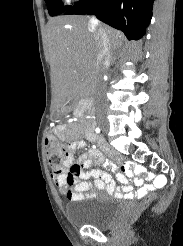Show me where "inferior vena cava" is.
Returning <instances> with one entry per match:
<instances>
[{"label": "inferior vena cava", "instance_id": "602c4592", "mask_svg": "<svg viewBox=\"0 0 183 246\" xmlns=\"http://www.w3.org/2000/svg\"><path fill=\"white\" fill-rule=\"evenodd\" d=\"M89 23L98 32L99 53L97 56V80H96V107L103 110L107 107V99L105 92V83L103 81V73L109 67L111 61V47L107 33L99 24L95 16H92Z\"/></svg>", "mask_w": 183, "mask_h": 246}]
</instances>
